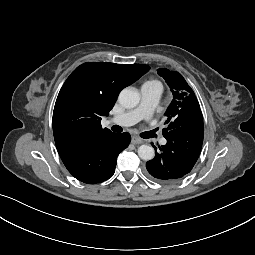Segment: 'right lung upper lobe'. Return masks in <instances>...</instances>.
Masks as SVG:
<instances>
[{"instance_id":"obj_1","label":"right lung upper lobe","mask_w":255,"mask_h":255,"mask_svg":"<svg viewBox=\"0 0 255 255\" xmlns=\"http://www.w3.org/2000/svg\"><path fill=\"white\" fill-rule=\"evenodd\" d=\"M150 69L142 64L87 62L78 66L62 86L53 111V134L58 153L112 134L102 128L119 92Z\"/></svg>"}]
</instances>
